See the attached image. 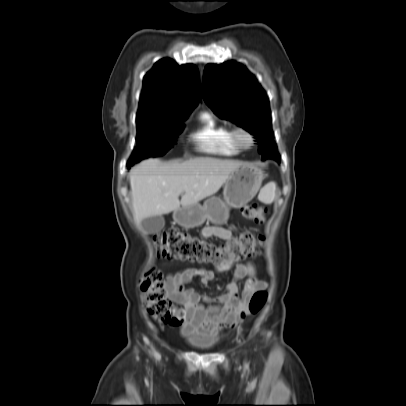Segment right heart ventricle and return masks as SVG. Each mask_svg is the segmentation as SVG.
Here are the masks:
<instances>
[{
    "label": "right heart ventricle",
    "instance_id": "e07e8e85",
    "mask_svg": "<svg viewBox=\"0 0 406 406\" xmlns=\"http://www.w3.org/2000/svg\"><path fill=\"white\" fill-rule=\"evenodd\" d=\"M199 125L190 137L200 151L220 155H236L240 152L232 139V129L211 113L202 112L199 115Z\"/></svg>",
    "mask_w": 406,
    "mask_h": 406
}]
</instances>
